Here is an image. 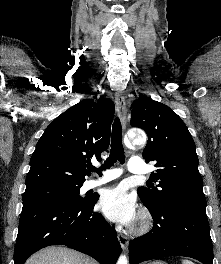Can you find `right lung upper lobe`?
<instances>
[{
  "instance_id": "right-lung-upper-lobe-1",
  "label": "right lung upper lobe",
  "mask_w": 221,
  "mask_h": 264,
  "mask_svg": "<svg viewBox=\"0 0 221 264\" xmlns=\"http://www.w3.org/2000/svg\"><path fill=\"white\" fill-rule=\"evenodd\" d=\"M115 106L111 99L83 100L58 116L39 139L26 189L54 182L83 183L87 163L109 146Z\"/></svg>"
}]
</instances>
